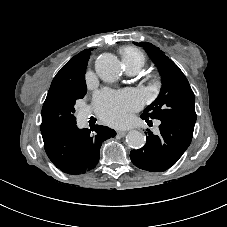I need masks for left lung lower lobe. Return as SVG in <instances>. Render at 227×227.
Returning <instances> with one entry per match:
<instances>
[{
    "instance_id": "left-lung-lower-lobe-1",
    "label": "left lung lower lobe",
    "mask_w": 227,
    "mask_h": 227,
    "mask_svg": "<svg viewBox=\"0 0 227 227\" xmlns=\"http://www.w3.org/2000/svg\"><path fill=\"white\" fill-rule=\"evenodd\" d=\"M142 119L149 121L143 117ZM160 134L154 135L147 129L144 147L130 152L131 161L140 169L162 172L173 166L191 143L194 124L178 118L159 119Z\"/></svg>"
}]
</instances>
